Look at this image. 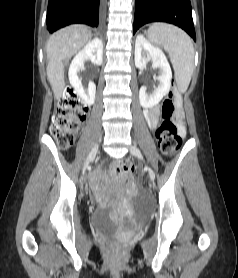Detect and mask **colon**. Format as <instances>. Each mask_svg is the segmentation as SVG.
<instances>
[{
    "label": "colon",
    "instance_id": "colon-1",
    "mask_svg": "<svg viewBox=\"0 0 238 278\" xmlns=\"http://www.w3.org/2000/svg\"><path fill=\"white\" fill-rule=\"evenodd\" d=\"M176 95L170 91L161 104V123L156 131L160 151L170 155L178 150L182 143L176 117ZM88 114V107L73 90H66L52 119L50 132L61 149H68L75 143L82 123ZM134 164L128 159L115 161L109 168L113 179L129 176Z\"/></svg>",
    "mask_w": 238,
    "mask_h": 278
}]
</instances>
